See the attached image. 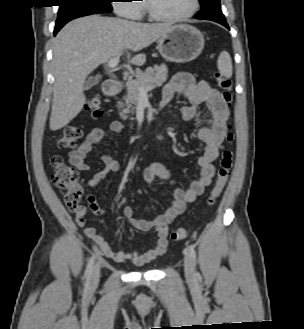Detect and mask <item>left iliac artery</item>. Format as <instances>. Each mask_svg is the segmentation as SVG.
<instances>
[{"label": "left iliac artery", "instance_id": "1", "mask_svg": "<svg viewBox=\"0 0 304 329\" xmlns=\"http://www.w3.org/2000/svg\"><path fill=\"white\" fill-rule=\"evenodd\" d=\"M189 254H190V257L194 263V265H196V262H197V259H196V251L194 249V246L190 245L189 246ZM196 276H199V273L196 272Z\"/></svg>", "mask_w": 304, "mask_h": 329}]
</instances>
